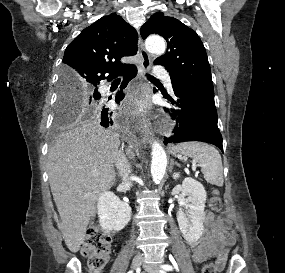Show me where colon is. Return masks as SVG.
Here are the masks:
<instances>
[{
	"mask_svg": "<svg viewBox=\"0 0 285 273\" xmlns=\"http://www.w3.org/2000/svg\"><path fill=\"white\" fill-rule=\"evenodd\" d=\"M210 206L213 211L221 212L222 201L217 190H214L210 198ZM86 257L91 273L102 272L110 258L111 236L95 227L90 228L81 248ZM201 273H216L214 263L207 262L203 265Z\"/></svg>",
	"mask_w": 285,
	"mask_h": 273,
	"instance_id": "colon-1",
	"label": "colon"
}]
</instances>
